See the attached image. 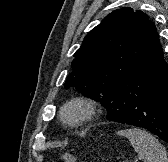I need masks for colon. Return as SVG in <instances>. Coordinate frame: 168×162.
<instances>
[{"instance_id": "1", "label": "colon", "mask_w": 168, "mask_h": 162, "mask_svg": "<svg viewBox=\"0 0 168 162\" xmlns=\"http://www.w3.org/2000/svg\"><path fill=\"white\" fill-rule=\"evenodd\" d=\"M63 162H75V158L73 155L65 153L61 156Z\"/></svg>"}]
</instances>
